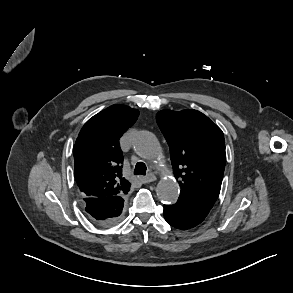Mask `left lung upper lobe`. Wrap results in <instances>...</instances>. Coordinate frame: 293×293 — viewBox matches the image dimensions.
Segmentation results:
<instances>
[{"label": "left lung upper lobe", "instance_id": "5c2ea615", "mask_svg": "<svg viewBox=\"0 0 293 293\" xmlns=\"http://www.w3.org/2000/svg\"><path fill=\"white\" fill-rule=\"evenodd\" d=\"M156 120L171 154L179 199L209 212L218 198L226 162L222 130L196 110H162Z\"/></svg>", "mask_w": 293, "mask_h": 293}]
</instances>
